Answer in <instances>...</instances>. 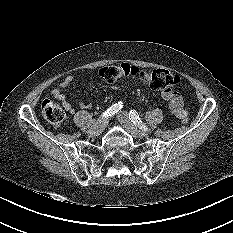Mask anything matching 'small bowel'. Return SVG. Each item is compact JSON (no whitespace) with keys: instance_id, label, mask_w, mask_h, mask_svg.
Listing matches in <instances>:
<instances>
[{"instance_id":"small-bowel-1","label":"small bowel","mask_w":233,"mask_h":233,"mask_svg":"<svg viewBox=\"0 0 233 233\" xmlns=\"http://www.w3.org/2000/svg\"><path fill=\"white\" fill-rule=\"evenodd\" d=\"M73 81V76H66L59 84L57 88L52 90V95L61 102L63 107L73 114L75 112L74 107L67 101L63 89L69 86ZM161 97L168 102L169 109L175 115L176 118L182 120L187 118V110L184 108L183 100L181 96L174 91H162ZM91 107L90 103L83 102L80 103L81 109H89Z\"/></svg>"}]
</instances>
